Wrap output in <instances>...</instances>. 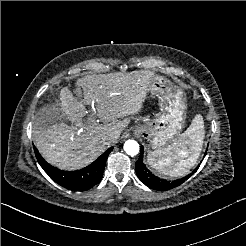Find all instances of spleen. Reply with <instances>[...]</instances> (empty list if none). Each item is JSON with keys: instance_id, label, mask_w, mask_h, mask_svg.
I'll list each match as a JSON object with an SVG mask.
<instances>
[{"instance_id": "1", "label": "spleen", "mask_w": 246, "mask_h": 246, "mask_svg": "<svg viewBox=\"0 0 246 246\" xmlns=\"http://www.w3.org/2000/svg\"><path fill=\"white\" fill-rule=\"evenodd\" d=\"M203 118L198 115L187 130L168 147L153 152L149 163L160 175L177 178L196 164L204 139Z\"/></svg>"}]
</instances>
